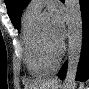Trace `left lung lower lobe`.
<instances>
[{"instance_id":"obj_1","label":"left lung lower lobe","mask_w":89,"mask_h":89,"mask_svg":"<svg viewBox=\"0 0 89 89\" xmlns=\"http://www.w3.org/2000/svg\"><path fill=\"white\" fill-rule=\"evenodd\" d=\"M83 22V45L76 80L85 81L89 73V0H79ZM67 62L62 66L58 77L63 80L66 76Z\"/></svg>"}]
</instances>
